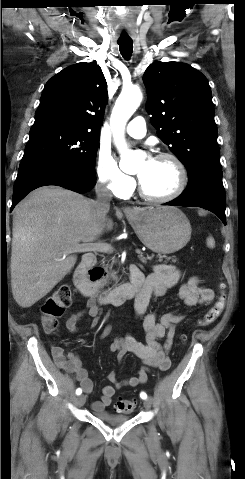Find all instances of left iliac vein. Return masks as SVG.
I'll return each mask as SVG.
<instances>
[{"instance_id": "left-iliac-vein-1", "label": "left iliac vein", "mask_w": 245, "mask_h": 479, "mask_svg": "<svg viewBox=\"0 0 245 479\" xmlns=\"http://www.w3.org/2000/svg\"><path fill=\"white\" fill-rule=\"evenodd\" d=\"M143 405L146 409H150L152 405L151 400L150 399L144 400Z\"/></svg>"}]
</instances>
